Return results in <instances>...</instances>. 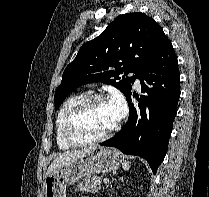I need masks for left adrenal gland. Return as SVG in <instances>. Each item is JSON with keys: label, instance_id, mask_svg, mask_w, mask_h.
I'll list each match as a JSON object with an SVG mask.
<instances>
[{"label": "left adrenal gland", "instance_id": "obj_1", "mask_svg": "<svg viewBox=\"0 0 209 197\" xmlns=\"http://www.w3.org/2000/svg\"><path fill=\"white\" fill-rule=\"evenodd\" d=\"M122 178H120L119 177V180H121ZM117 179H113L112 181H116ZM110 184H111V182H110ZM110 185H107V187L106 188H108Z\"/></svg>", "mask_w": 209, "mask_h": 197}]
</instances>
